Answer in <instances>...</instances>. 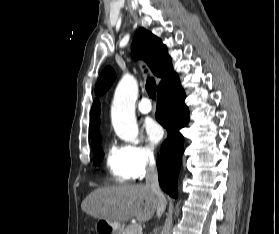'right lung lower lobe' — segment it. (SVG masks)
<instances>
[{
	"instance_id": "obj_1",
	"label": "right lung lower lobe",
	"mask_w": 279,
	"mask_h": 234,
	"mask_svg": "<svg viewBox=\"0 0 279 234\" xmlns=\"http://www.w3.org/2000/svg\"><path fill=\"white\" fill-rule=\"evenodd\" d=\"M157 91L156 119L168 132L157 162L159 183L167 194L176 198L177 180L184 147V138L179 130L187 125L189 110L184 103L185 93L177 74Z\"/></svg>"
}]
</instances>
